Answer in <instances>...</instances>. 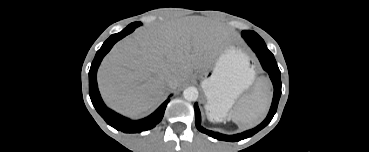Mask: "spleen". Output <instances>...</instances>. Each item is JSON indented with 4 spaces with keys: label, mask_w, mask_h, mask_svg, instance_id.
<instances>
[{
    "label": "spleen",
    "mask_w": 369,
    "mask_h": 152,
    "mask_svg": "<svg viewBox=\"0 0 369 152\" xmlns=\"http://www.w3.org/2000/svg\"><path fill=\"white\" fill-rule=\"evenodd\" d=\"M270 102L271 92L259 85L251 94L242 98L229 115L237 125L253 127L264 118Z\"/></svg>",
    "instance_id": "spleen-1"
}]
</instances>
